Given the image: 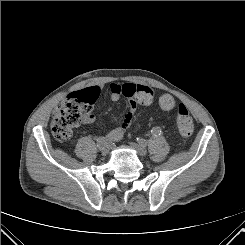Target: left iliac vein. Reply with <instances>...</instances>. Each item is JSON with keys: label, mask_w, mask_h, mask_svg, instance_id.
I'll return each mask as SVG.
<instances>
[{"label": "left iliac vein", "mask_w": 245, "mask_h": 245, "mask_svg": "<svg viewBox=\"0 0 245 245\" xmlns=\"http://www.w3.org/2000/svg\"><path fill=\"white\" fill-rule=\"evenodd\" d=\"M131 147L136 150L141 156H146L147 149L142 144L130 143Z\"/></svg>", "instance_id": "1"}]
</instances>
